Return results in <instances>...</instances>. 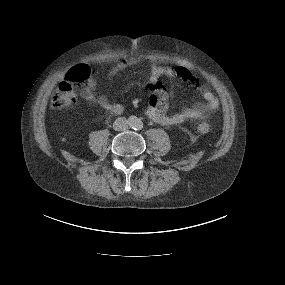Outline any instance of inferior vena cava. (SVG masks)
<instances>
[{
  "label": "inferior vena cava",
  "instance_id": "obj_1",
  "mask_svg": "<svg viewBox=\"0 0 285 285\" xmlns=\"http://www.w3.org/2000/svg\"><path fill=\"white\" fill-rule=\"evenodd\" d=\"M113 128L116 131H125L128 128V120L124 117H118L113 123Z\"/></svg>",
  "mask_w": 285,
  "mask_h": 285
}]
</instances>
